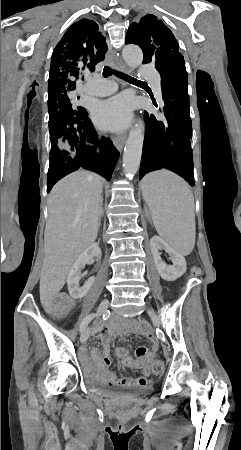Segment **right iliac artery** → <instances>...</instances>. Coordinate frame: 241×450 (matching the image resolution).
Listing matches in <instances>:
<instances>
[{
	"label": "right iliac artery",
	"mask_w": 241,
	"mask_h": 450,
	"mask_svg": "<svg viewBox=\"0 0 241 450\" xmlns=\"http://www.w3.org/2000/svg\"><path fill=\"white\" fill-rule=\"evenodd\" d=\"M95 317V314H90L89 316H87L81 323L80 326V332H83L84 329L87 327V325L89 324V322Z\"/></svg>",
	"instance_id": "82829eb1"
}]
</instances>
